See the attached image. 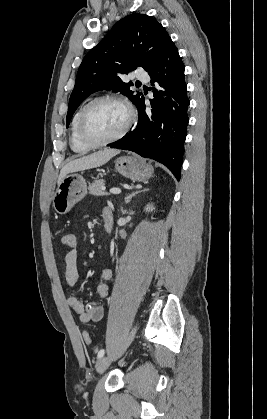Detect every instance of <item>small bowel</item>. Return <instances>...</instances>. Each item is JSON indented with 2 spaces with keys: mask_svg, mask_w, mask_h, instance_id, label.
I'll use <instances>...</instances> for the list:
<instances>
[{
  "mask_svg": "<svg viewBox=\"0 0 267 419\" xmlns=\"http://www.w3.org/2000/svg\"><path fill=\"white\" fill-rule=\"evenodd\" d=\"M112 217L109 210H104L103 219ZM64 270L67 286L72 293L67 298L68 305L79 315L82 323L98 322L104 317V308L95 302L84 304L79 295L75 292V288L79 282L80 274L78 268V250L76 245L69 248L64 257ZM112 278V271L109 268L103 269L98 277L96 292L100 298H105L109 294L107 282Z\"/></svg>",
  "mask_w": 267,
  "mask_h": 419,
  "instance_id": "obj_1",
  "label": "small bowel"
}]
</instances>
